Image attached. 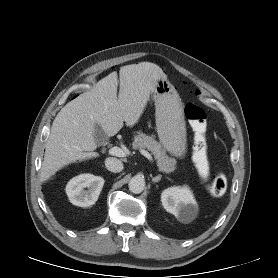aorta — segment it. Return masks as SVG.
<instances>
[{
  "mask_svg": "<svg viewBox=\"0 0 278 278\" xmlns=\"http://www.w3.org/2000/svg\"><path fill=\"white\" fill-rule=\"evenodd\" d=\"M129 190L132 193L139 194L141 193L145 188V180L141 176H134L129 181Z\"/></svg>",
  "mask_w": 278,
  "mask_h": 278,
  "instance_id": "1",
  "label": "aorta"
}]
</instances>
